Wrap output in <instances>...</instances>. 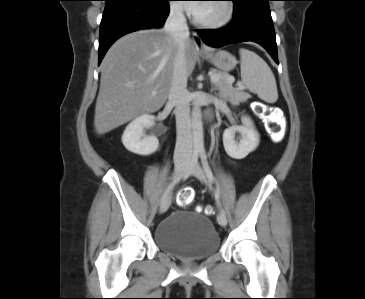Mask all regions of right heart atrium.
I'll use <instances>...</instances> for the list:
<instances>
[{
    "mask_svg": "<svg viewBox=\"0 0 365 299\" xmlns=\"http://www.w3.org/2000/svg\"><path fill=\"white\" fill-rule=\"evenodd\" d=\"M169 10L172 15H174L177 18H182L184 16V10L183 7L178 1H171Z\"/></svg>",
    "mask_w": 365,
    "mask_h": 299,
    "instance_id": "right-heart-atrium-1",
    "label": "right heart atrium"
}]
</instances>
